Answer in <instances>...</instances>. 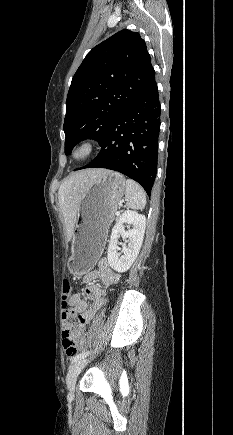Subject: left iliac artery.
I'll return each instance as SVG.
<instances>
[{
  "label": "left iliac artery",
  "mask_w": 233,
  "mask_h": 435,
  "mask_svg": "<svg viewBox=\"0 0 233 435\" xmlns=\"http://www.w3.org/2000/svg\"><path fill=\"white\" fill-rule=\"evenodd\" d=\"M88 354H90L89 351H87V352H82V353L76 355L75 357H73V359L71 360V362L73 363V362H75V361H77V360H79V359H82V358L86 357Z\"/></svg>",
  "instance_id": "left-iliac-artery-1"
}]
</instances>
